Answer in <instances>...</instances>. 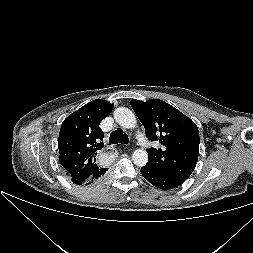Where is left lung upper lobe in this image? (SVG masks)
<instances>
[{
	"mask_svg": "<svg viewBox=\"0 0 253 253\" xmlns=\"http://www.w3.org/2000/svg\"><path fill=\"white\" fill-rule=\"evenodd\" d=\"M131 107L143 124L146 136L159 141L161 148H150L146 166L183 183L196 167L199 155V131L196 124L159 99L131 100Z\"/></svg>",
	"mask_w": 253,
	"mask_h": 253,
	"instance_id": "1",
	"label": "left lung upper lobe"
}]
</instances>
